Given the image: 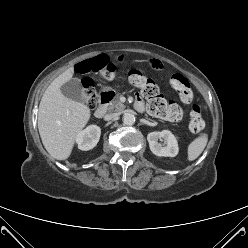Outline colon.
Returning a JSON list of instances; mask_svg holds the SVG:
<instances>
[{
  "mask_svg": "<svg viewBox=\"0 0 248 248\" xmlns=\"http://www.w3.org/2000/svg\"><path fill=\"white\" fill-rule=\"evenodd\" d=\"M105 60L99 57L93 60H87L78 65V70L87 73L90 70H101L102 77L111 81L115 78V70L112 67L104 66ZM126 81L133 86L141 89L142 95L147 99L148 111L158 117L174 119L179 115V108L176 104L168 103L161 95L157 84L141 74L138 71H130L126 76ZM171 88L177 93L179 99L190 104L193 101V92L190 88L188 79L180 73H174L169 78ZM82 93L88 105L92 108L99 104V98L96 94L92 80L88 77L83 79ZM189 129L192 133H199L203 130L205 124L201 116V108L198 104L192 103L190 110Z\"/></svg>",
  "mask_w": 248,
  "mask_h": 248,
  "instance_id": "1",
  "label": "colon"
}]
</instances>
